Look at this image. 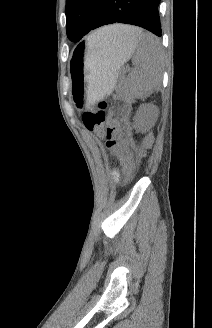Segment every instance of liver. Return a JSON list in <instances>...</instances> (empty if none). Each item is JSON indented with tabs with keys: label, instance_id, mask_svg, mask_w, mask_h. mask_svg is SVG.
Listing matches in <instances>:
<instances>
[{
	"label": "liver",
	"instance_id": "6515ba94",
	"mask_svg": "<svg viewBox=\"0 0 212 328\" xmlns=\"http://www.w3.org/2000/svg\"><path fill=\"white\" fill-rule=\"evenodd\" d=\"M138 31V28L127 25L104 27L99 30V35L103 39L101 46H114L131 42Z\"/></svg>",
	"mask_w": 212,
	"mask_h": 328
}]
</instances>
